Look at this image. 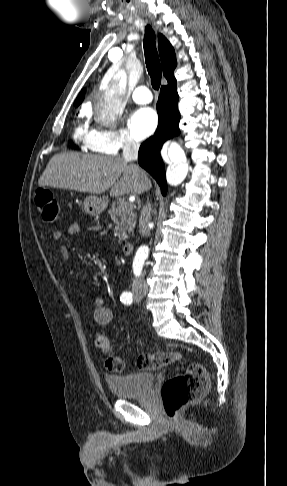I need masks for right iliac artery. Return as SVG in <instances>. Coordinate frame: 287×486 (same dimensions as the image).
<instances>
[{"label": "right iliac artery", "mask_w": 287, "mask_h": 486, "mask_svg": "<svg viewBox=\"0 0 287 486\" xmlns=\"http://www.w3.org/2000/svg\"><path fill=\"white\" fill-rule=\"evenodd\" d=\"M123 299H129V300H132V293L131 292H123L122 295H121V300Z\"/></svg>", "instance_id": "obj_1"}]
</instances>
